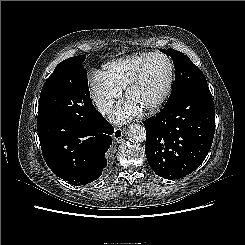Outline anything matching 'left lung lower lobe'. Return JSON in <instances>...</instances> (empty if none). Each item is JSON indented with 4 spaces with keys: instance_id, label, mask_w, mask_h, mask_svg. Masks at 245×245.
I'll return each mask as SVG.
<instances>
[{
    "instance_id": "obj_1",
    "label": "left lung lower lobe",
    "mask_w": 245,
    "mask_h": 245,
    "mask_svg": "<svg viewBox=\"0 0 245 245\" xmlns=\"http://www.w3.org/2000/svg\"><path fill=\"white\" fill-rule=\"evenodd\" d=\"M143 124L152 170L166 179L189 175L204 161L214 138L215 109L209 87L186 92Z\"/></svg>"
}]
</instances>
